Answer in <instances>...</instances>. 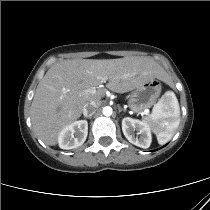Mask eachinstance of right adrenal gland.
I'll use <instances>...</instances> for the list:
<instances>
[{"label":"right adrenal gland","instance_id":"right-adrenal-gland-1","mask_svg":"<svg viewBox=\"0 0 210 210\" xmlns=\"http://www.w3.org/2000/svg\"><path fill=\"white\" fill-rule=\"evenodd\" d=\"M85 118L91 119V116H85Z\"/></svg>","mask_w":210,"mask_h":210}]
</instances>
